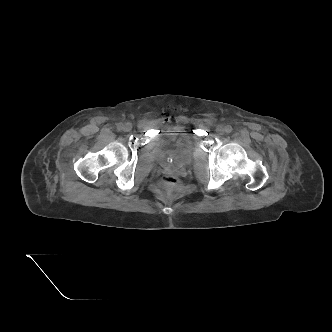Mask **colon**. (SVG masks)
Returning a JSON list of instances; mask_svg holds the SVG:
<instances>
[{
  "mask_svg": "<svg viewBox=\"0 0 332 332\" xmlns=\"http://www.w3.org/2000/svg\"><path fill=\"white\" fill-rule=\"evenodd\" d=\"M182 181L176 176L166 175L161 180V188L168 195H175L182 190Z\"/></svg>",
  "mask_w": 332,
  "mask_h": 332,
  "instance_id": "obj_1",
  "label": "colon"
}]
</instances>
